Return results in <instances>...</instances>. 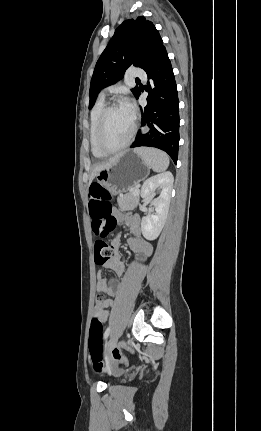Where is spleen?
<instances>
[{"label": "spleen", "mask_w": 261, "mask_h": 431, "mask_svg": "<svg viewBox=\"0 0 261 431\" xmlns=\"http://www.w3.org/2000/svg\"><path fill=\"white\" fill-rule=\"evenodd\" d=\"M136 151L156 172L165 171L169 166V157L163 151L153 148H138Z\"/></svg>", "instance_id": "1"}]
</instances>
